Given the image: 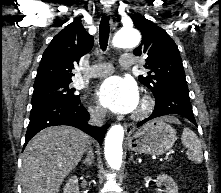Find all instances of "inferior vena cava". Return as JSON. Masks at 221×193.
Instances as JSON below:
<instances>
[{
	"label": "inferior vena cava",
	"mask_w": 221,
	"mask_h": 193,
	"mask_svg": "<svg viewBox=\"0 0 221 193\" xmlns=\"http://www.w3.org/2000/svg\"><path fill=\"white\" fill-rule=\"evenodd\" d=\"M105 114L106 111L103 108H96L90 110V124L96 125V126H102L105 122ZM88 155H91L93 157V152L90 147L87 148Z\"/></svg>",
	"instance_id": "1"
}]
</instances>
